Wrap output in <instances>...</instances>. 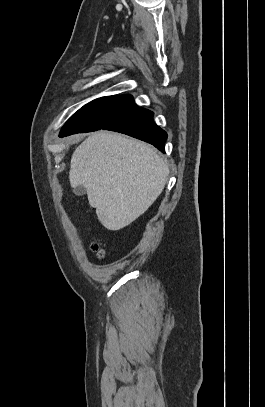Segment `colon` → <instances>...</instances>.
Instances as JSON below:
<instances>
[{
    "label": "colon",
    "mask_w": 265,
    "mask_h": 407,
    "mask_svg": "<svg viewBox=\"0 0 265 407\" xmlns=\"http://www.w3.org/2000/svg\"><path fill=\"white\" fill-rule=\"evenodd\" d=\"M91 249L98 258H103L105 256V251L100 247L98 242H94Z\"/></svg>",
    "instance_id": "obj_1"
}]
</instances>
